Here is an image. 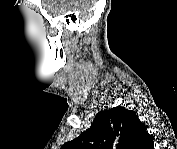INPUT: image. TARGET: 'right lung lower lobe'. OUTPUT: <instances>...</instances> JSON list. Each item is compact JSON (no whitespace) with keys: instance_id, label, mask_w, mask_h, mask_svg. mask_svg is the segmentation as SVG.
I'll return each mask as SVG.
<instances>
[{"instance_id":"98d812e1","label":"right lung lower lobe","mask_w":177,"mask_h":149,"mask_svg":"<svg viewBox=\"0 0 177 149\" xmlns=\"http://www.w3.org/2000/svg\"><path fill=\"white\" fill-rule=\"evenodd\" d=\"M149 148H153V140L152 143L149 145Z\"/></svg>"}]
</instances>
